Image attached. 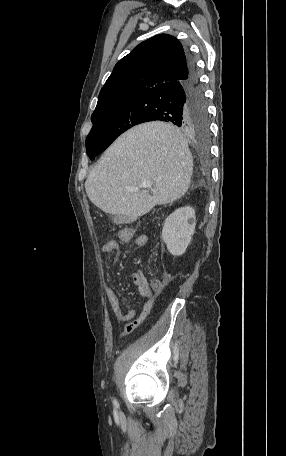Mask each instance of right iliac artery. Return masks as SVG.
<instances>
[{
	"mask_svg": "<svg viewBox=\"0 0 286 456\" xmlns=\"http://www.w3.org/2000/svg\"><path fill=\"white\" fill-rule=\"evenodd\" d=\"M113 404H114V406L118 405V403H117V401L115 399L113 400Z\"/></svg>",
	"mask_w": 286,
	"mask_h": 456,
	"instance_id": "1",
	"label": "right iliac artery"
}]
</instances>
